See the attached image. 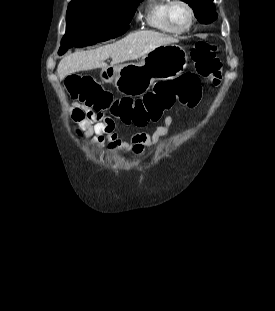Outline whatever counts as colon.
Listing matches in <instances>:
<instances>
[{"mask_svg":"<svg viewBox=\"0 0 275 311\" xmlns=\"http://www.w3.org/2000/svg\"><path fill=\"white\" fill-rule=\"evenodd\" d=\"M196 73L157 83L152 91L138 99L114 98L89 75L72 74L65 81L66 89L75 102L102 113L111 111L125 125L148 129L150 121H160L161 115L176 104L195 107L200 101L199 77L214 78L220 74L222 64L214 44L199 41L191 51Z\"/></svg>","mask_w":275,"mask_h":311,"instance_id":"colon-1","label":"colon"}]
</instances>
